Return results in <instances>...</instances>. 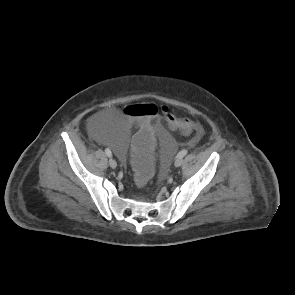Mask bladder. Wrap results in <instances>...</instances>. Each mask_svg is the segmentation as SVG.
I'll list each match as a JSON object with an SVG mask.
<instances>
[{
	"label": "bladder",
	"mask_w": 295,
	"mask_h": 295,
	"mask_svg": "<svg viewBox=\"0 0 295 295\" xmlns=\"http://www.w3.org/2000/svg\"><path fill=\"white\" fill-rule=\"evenodd\" d=\"M91 136L99 142L105 143L106 151L112 157L125 158L130 151V138L133 137L128 127H120L107 113H100L90 119L87 125ZM153 131L157 137L160 147L159 163L156 174L164 179L169 174L172 166V157L178 152L177 147L170 138L171 129L162 121L155 124Z\"/></svg>",
	"instance_id": "bladder-1"
}]
</instances>
